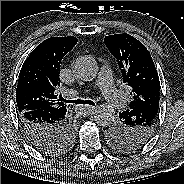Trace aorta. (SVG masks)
<instances>
[{
    "instance_id": "aorta-1",
    "label": "aorta",
    "mask_w": 184,
    "mask_h": 184,
    "mask_svg": "<svg viewBox=\"0 0 184 184\" xmlns=\"http://www.w3.org/2000/svg\"><path fill=\"white\" fill-rule=\"evenodd\" d=\"M73 69L76 77L85 82L94 80L98 74L96 61L88 56L79 57ZM94 119L100 126L110 125L115 119V109L109 104H101L94 112Z\"/></svg>"
}]
</instances>
